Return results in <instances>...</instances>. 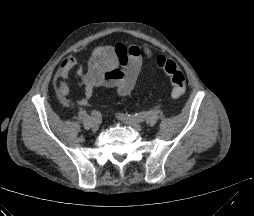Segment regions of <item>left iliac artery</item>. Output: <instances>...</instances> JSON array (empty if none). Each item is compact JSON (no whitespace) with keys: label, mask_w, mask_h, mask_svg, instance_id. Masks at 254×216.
<instances>
[{"label":"left iliac artery","mask_w":254,"mask_h":216,"mask_svg":"<svg viewBox=\"0 0 254 216\" xmlns=\"http://www.w3.org/2000/svg\"><path fill=\"white\" fill-rule=\"evenodd\" d=\"M132 119H134V120H136V121H138V122H141V121H144L146 118H147V116H148V114H147V112H141V113H136V114H134V115H129Z\"/></svg>","instance_id":"obj_1"}]
</instances>
